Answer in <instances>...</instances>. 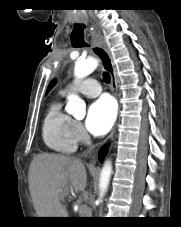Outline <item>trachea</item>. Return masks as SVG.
Here are the masks:
<instances>
[{
	"mask_svg": "<svg viewBox=\"0 0 181 227\" xmlns=\"http://www.w3.org/2000/svg\"><path fill=\"white\" fill-rule=\"evenodd\" d=\"M85 44V43H84ZM103 79L106 83H110V74L108 72L103 73Z\"/></svg>",
	"mask_w": 181,
	"mask_h": 227,
	"instance_id": "trachea-1",
	"label": "trachea"
}]
</instances>
